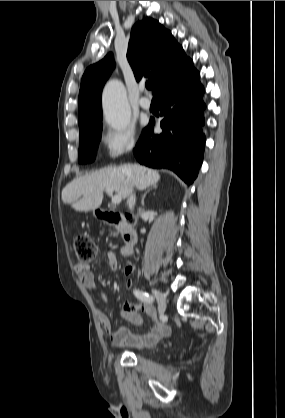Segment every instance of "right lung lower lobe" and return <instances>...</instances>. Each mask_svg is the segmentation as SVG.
Masks as SVG:
<instances>
[{"mask_svg":"<svg viewBox=\"0 0 285 418\" xmlns=\"http://www.w3.org/2000/svg\"><path fill=\"white\" fill-rule=\"evenodd\" d=\"M204 88L200 74L193 69L166 88L158 97L161 116V134H154V119L134 148L136 159L152 168H168L190 185L198 175L203 162L205 124L202 100Z\"/></svg>","mask_w":285,"mask_h":418,"instance_id":"right-lung-lower-lobe-1","label":"right lung lower lobe"}]
</instances>
